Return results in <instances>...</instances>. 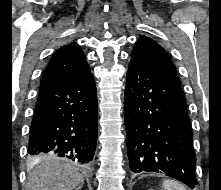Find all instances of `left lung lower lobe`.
Wrapping results in <instances>:
<instances>
[{
	"mask_svg": "<svg viewBox=\"0 0 221 190\" xmlns=\"http://www.w3.org/2000/svg\"><path fill=\"white\" fill-rule=\"evenodd\" d=\"M124 117L130 169L165 173L194 188L196 156L181 85L154 67L131 59Z\"/></svg>",
	"mask_w": 221,
	"mask_h": 190,
	"instance_id": "1",
	"label": "left lung lower lobe"
}]
</instances>
